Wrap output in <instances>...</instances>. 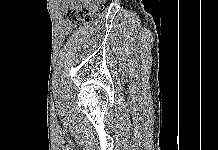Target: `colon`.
<instances>
[{"instance_id": "obj_1", "label": "colon", "mask_w": 218, "mask_h": 150, "mask_svg": "<svg viewBox=\"0 0 218 150\" xmlns=\"http://www.w3.org/2000/svg\"><path fill=\"white\" fill-rule=\"evenodd\" d=\"M102 2L88 7H76L69 9L67 11L64 24L65 31L67 33H71L93 21L103 7Z\"/></svg>"}]
</instances>
